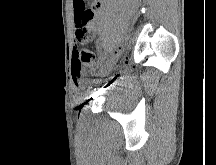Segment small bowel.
<instances>
[{
    "label": "small bowel",
    "instance_id": "obj_1",
    "mask_svg": "<svg viewBox=\"0 0 216 165\" xmlns=\"http://www.w3.org/2000/svg\"><path fill=\"white\" fill-rule=\"evenodd\" d=\"M73 13L75 21V34L81 26H84L92 35L100 33L103 28L104 3L103 0H92V5H86V0H73ZM84 13H92V17L86 21L83 19ZM91 35V36H92ZM80 77H75L77 81Z\"/></svg>",
    "mask_w": 216,
    "mask_h": 165
}]
</instances>
